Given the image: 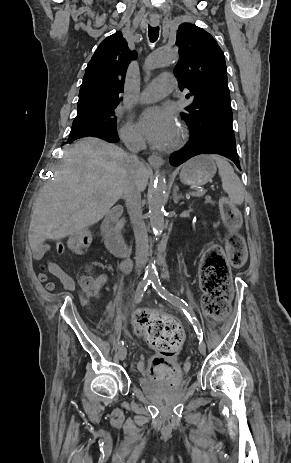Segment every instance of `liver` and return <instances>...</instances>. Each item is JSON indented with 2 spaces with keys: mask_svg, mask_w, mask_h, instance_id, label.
Returning a JSON list of instances; mask_svg holds the SVG:
<instances>
[{
  "mask_svg": "<svg viewBox=\"0 0 291 463\" xmlns=\"http://www.w3.org/2000/svg\"><path fill=\"white\" fill-rule=\"evenodd\" d=\"M131 164L120 147L88 137L64 152L54 180L36 198L29 228L33 250L47 239H61L100 221L123 197ZM140 191L149 178L141 163L135 170Z\"/></svg>",
  "mask_w": 291,
  "mask_h": 463,
  "instance_id": "1",
  "label": "liver"
}]
</instances>
